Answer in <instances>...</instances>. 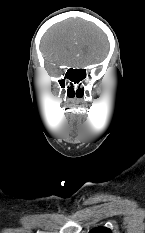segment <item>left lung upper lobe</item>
<instances>
[{"label": "left lung upper lobe", "mask_w": 145, "mask_h": 233, "mask_svg": "<svg viewBox=\"0 0 145 233\" xmlns=\"http://www.w3.org/2000/svg\"><path fill=\"white\" fill-rule=\"evenodd\" d=\"M89 233H112L110 229L105 227L94 228L89 231Z\"/></svg>", "instance_id": "left-lung-upper-lobe-1"}]
</instances>
